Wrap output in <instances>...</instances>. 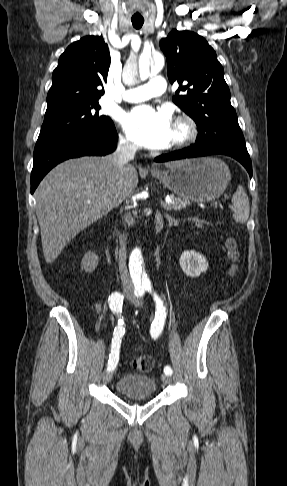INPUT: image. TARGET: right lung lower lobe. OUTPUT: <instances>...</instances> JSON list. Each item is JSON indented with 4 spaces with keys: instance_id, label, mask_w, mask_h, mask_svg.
<instances>
[{
    "instance_id": "obj_1",
    "label": "right lung lower lobe",
    "mask_w": 287,
    "mask_h": 486,
    "mask_svg": "<svg viewBox=\"0 0 287 486\" xmlns=\"http://www.w3.org/2000/svg\"><path fill=\"white\" fill-rule=\"evenodd\" d=\"M117 138L116 129L112 124L106 130L91 136L37 141L31 172V193H34L43 177L60 162L81 156L109 154L116 149Z\"/></svg>"
}]
</instances>
